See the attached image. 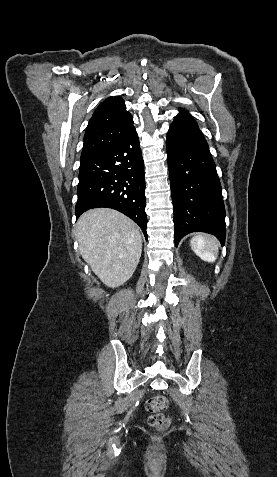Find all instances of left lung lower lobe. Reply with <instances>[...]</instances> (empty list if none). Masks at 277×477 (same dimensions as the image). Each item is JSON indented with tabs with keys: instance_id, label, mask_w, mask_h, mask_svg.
Here are the masks:
<instances>
[{
	"instance_id": "0a47b994",
	"label": "left lung lower lobe",
	"mask_w": 277,
	"mask_h": 477,
	"mask_svg": "<svg viewBox=\"0 0 277 477\" xmlns=\"http://www.w3.org/2000/svg\"><path fill=\"white\" fill-rule=\"evenodd\" d=\"M175 245L188 233L206 232L225 242V208L208 144L193 118H175L166 139Z\"/></svg>"
}]
</instances>
